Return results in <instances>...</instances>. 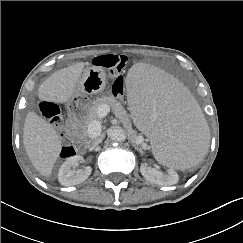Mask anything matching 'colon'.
Listing matches in <instances>:
<instances>
[{"mask_svg": "<svg viewBox=\"0 0 243 243\" xmlns=\"http://www.w3.org/2000/svg\"><path fill=\"white\" fill-rule=\"evenodd\" d=\"M126 63L127 57L122 54L100 55L93 61L94 66L108 70L109 77L113 80L112 92L117 97H122L124 94V81L121 73ZM40 111L55 127L60 129L64 127L62 112L58 104L51 101H42ZM77 148L76 138L70 136L66 130L65 134H62L60 156L69 158L76 153Z\"/></svg>", "mask_w": 243, "mask_h": 243, "instance_id": "obj_1", "label": "colon"}]
</instances>
